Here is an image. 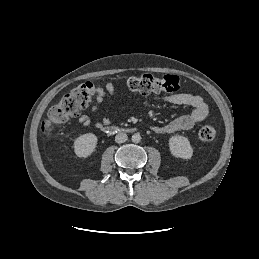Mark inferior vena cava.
I'll return each instance as SVG.
<instances>
[{"mask_svg": "<svg viewBox=\"0 0 259 259\" xmlns=\"http://www.w3.org/2000/svg\"><path fill=\"white\" fill-rule=\"evenodd\" d=\"M128 140V136L126 133H118L116 136H115V141L116 143L118 144H121V143H124Z\"/></svg>", "mask_w": 259, "mask_h": 259, "instance_id": "obj_1", "label": "inferior vena cava"}]
</instances>
